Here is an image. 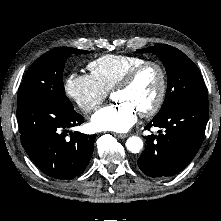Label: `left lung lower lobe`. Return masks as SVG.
I'll return each instance as SVG.
<instances>
[{
  "label": "left lung lower lobe",
  "instance_id": "0a47b994",
  "mask_svg": "<svg viewBox=\"0 0 221 221\" xmlns=\"http://www.w3.org/2000/svg\"><path fill=\"white\" fill-rule=\"evenodd\" d=\"M208 98L188 100L166 114L154 117L145 129L164 128L146 136V149L137 163L150 177H167L183 170L198 152L208 121Z\"/></svg>",
  "mask_w": 221,
  "mask_h": 221
}]
</instances>
